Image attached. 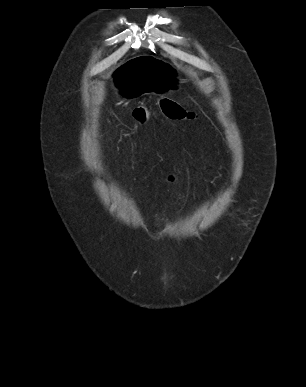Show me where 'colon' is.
<instances>
[{
    "instance_id": "obj_1",
    "label": "colon",
    "mask_w": 306,
    "mask_h": 387,
    "mask_svg": "<svg viewBox=\"0 0 306 387\" xmlns=\"http://www.w3.org/2000/svg\"><path fill=\"white\" fill-rule=\"evenodd\" d=\"M160 107L164 115L169 119L191 120L195 117V114L192 111L187 110L176 102L168 99H162L160 101ZM148 115L149 109L144 105L136 107L132 112L133 118L140 125H143L147 122Z\"/></svg>"
}]
</instances>
